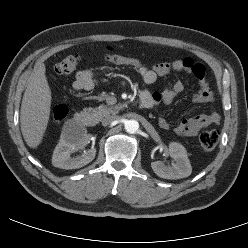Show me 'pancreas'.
Here are the masks:
<instances>
[{
	"mask_svg": "<svg viewBox=\"0 0 248 248\" xmlns=\"http://www.w3.org/2000/svg\"><path fill=\"white\" fill-rule=\"evenodd\" d=\"M123 108L122 104H118L112 107H108L106 105H101L97 108H89L88 111L91 112V115L93 118H95L96 120H101L102 118L110 115V114H115L117 113L119 110H121Z\"/></svg>",
	"mask_w": 248,
	"mask_h": 248,
	"instance_id": "pancreas-1",
	"label": "pancreas"
}]
</instances>
